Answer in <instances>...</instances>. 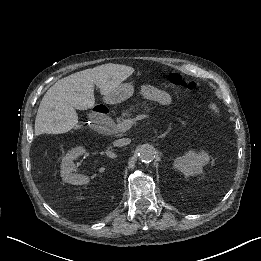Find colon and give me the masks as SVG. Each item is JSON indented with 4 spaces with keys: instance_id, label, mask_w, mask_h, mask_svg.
Wrapping results in <instances>:
<instances>
[{
    "instance_id": "obj_1",
    "label": "colon",
    "mask_w": 261,
    "mask_h": 261,
    "mask_svg": "<svg viewBox=\"0 0 261 261\" xmlns=\"http://www.w3.org/2000/svg\"><path fill=\"white\" fill-rule=\"evenodd\" d=\"M167 79L169 83L181 86L182 88H185L187 90H193L197 86V83L195 81L189 80L178 73L168 74Z\"/></svg>"
}]
</instances>
